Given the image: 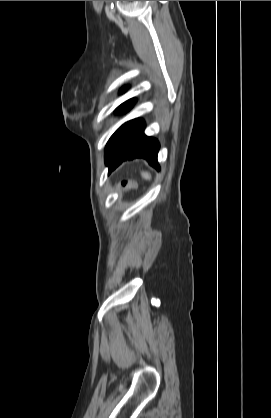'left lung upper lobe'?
Listing matches in <instances>:
<instances>
[{"label": "left lung upper lobe", "mask_w": 271, "mask_h": 418, "mask_svg": "<svg viewBox=\"0 0 271 418\" xmlns=\"http://www.w3.org/2000/svg\"><path fill=\"white\" fill-rule=\"evenodd\" d=\"M127 90V87H124L122 90H121V92H124V91H126ZM134 102H135V99H130V100H128V101H126V102H124L123 104H121L117 109H116V111L117 112H126V111H128L132 106H133V104H134Z\"/></svg>", "instance_id": "obj_1"}]
</instances>
